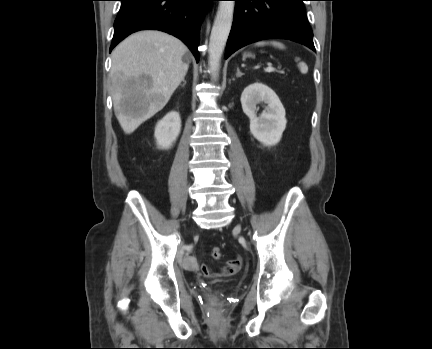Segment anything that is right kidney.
<instances>
[{
    "instance_id": "obj_1",
    "label": "right kidney",
    "mask_w": 432,
    "mask_h": 349,
    "mask_svg": "<svg viewBox=\"0 0 432 349\" xmlns=\"http://www.w3.org/2000/svg\"><path fill=\"white\" fill-rule=\"evenodd\" d=\"M181 131V118L178 112L167 113L155 127V139L161 149H169Z\"/></svg>"
}]
</instances>
